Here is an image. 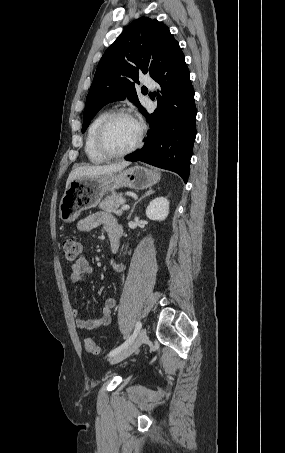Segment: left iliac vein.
<instances>
[{"instance_id": "obj_1", "label": "left iliac vein", "mask_w": 285, "mask_h": 453, "mask_svg": "<svg viewBox=\"0 0 285 453\" xmlns=\"http://www.w3.org/2000/svg\"><path fill=\"white\" fill-rule=\"evenodd\" d=\"M146 337L147 331L146 329H142L136 339L129 346L111 358L110 364H117L129 357L142 345V343L146 340Z\"/></svg>"}]
</instances>
